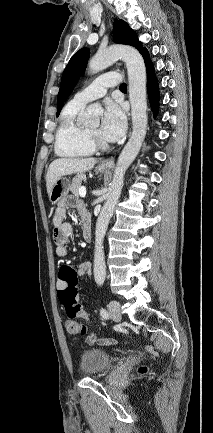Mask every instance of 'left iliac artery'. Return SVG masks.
Instances as JSON below:
<instances>
[{"label": "left iliac artery", "mask_w": 213, "mask_h": 433, "mask_svg": "<svg viewBox=\"0 0 213 433\" xmlns=\"http://www.w3.org/2000/svg\"><path fill=\"white\" fill-rule=\"evenodd\" d=\"M100 315L103 317V318H108V312L104 309V308H101V310H100Z\"/></svg>", "instance_id": "44dca946"}]
</instances>
